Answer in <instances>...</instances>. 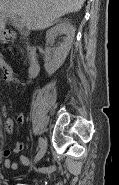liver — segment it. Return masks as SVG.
Here are the masks:
<instances>
[{
  "instance_id": "obj_1",
  "label": "liver",
  "mask_w": 119,
  "mask_h": 185,
  "mask_svg": "<svg viewBox=\"0 0 119 185\" xmlns=\"http://www.w3.org/2000/svg\"><path fill=\"white\" fill-rule=\"evenodd\" d=\"M85 0H0V30L5 28L3 14L13 13L29 30H43L68 13L79 11Z\"/></svg>"
}]
</instances>
